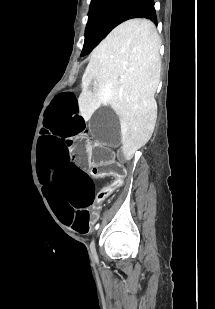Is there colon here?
Instances as JSON below:
<instances>
[{
	"instance_id": "obj_1",
	"label": "colon",
	"mask_w": 215,
	"mask_h": 309,
	"mask_svg": "<svg viewBox=\"0 0 215 309\" xmlns=\"http://www.w3.org/2000/svg\"><path fill=\"white\" fill-rule=\"evenodd\" d=\"M100 157L95 155L91 157L92 164L96 165V171L114 176L113 180L101 189L97 195L98 200H103L123 185L126 172L118 163L111 161L107 157L101 160Z\"/></svg>"
}]
</instances>
